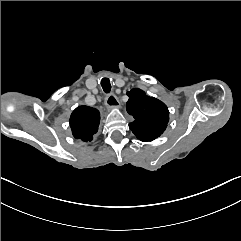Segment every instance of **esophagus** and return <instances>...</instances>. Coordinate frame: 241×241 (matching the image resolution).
<instances>
[{
  "label": "esophagus",
  "instance_id": "obj_1",
  "mask_svg": "<svg viewBox=\"0 0 241 241\" xmlns=\"http://www.w3.org/2000/svg\"><path fill=\"white\" fill-rule=\"evenodd\" d=\"M105 105L108 109L120 108V103H119L117 97L112 93H110L106 96Z\"/></svg>",
  "mask_w": 241,
  "mask_h": 241
}]
</instances>
